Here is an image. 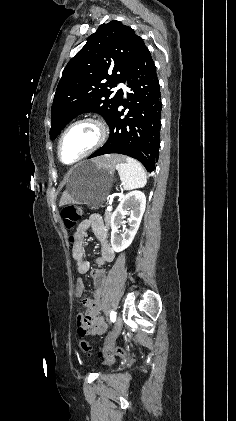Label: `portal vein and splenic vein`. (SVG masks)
Here are the masks:
<instances>
[{
	"label": "portal vein and splenic vein",
	"mask_w": 236,
	"mask_h": 421,
	"mask_svg": "<svg viewBox=\"0 0 236 421\" xmlns=\"http://www.w3.org/2000/svg\"><path fill=\"white\" fill-rule=\"evenodd\" d=\"M106 211H112V206H107Z\"/></svg>",
	"instance_id": "18ae733b"
}]
</instances>
